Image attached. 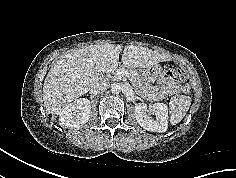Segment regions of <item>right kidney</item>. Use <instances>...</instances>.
I'll list each match as a JSON object with an SVG mask.
<instances>
[{
  "mask_svg": "<svg viewBox=\"0 0 236 178\" xmlns=\"http://www.w3.org/2000/svg\"><path fill=\"white\" fill-rule=\"evenodd\" d=\"M91 114V102L88 99L80 98L68 104L62 110L59 124L63 128H79L88 122Z\"/></svg>",
  "mask_w": 236,
  "mask_h": 178,
  "instance_id": "ca27d5eb",
  "label": "right kidney"
}]
</instances>
